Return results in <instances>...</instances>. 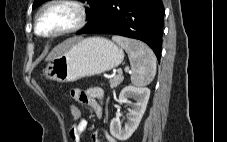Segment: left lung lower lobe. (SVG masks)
<instances>
[{
    "instance_id": "1",
    "label": "left lung lower lobe",
    "mask_w": 227,
    "mask_h": 142,
    "mask_svg": "<svg viewBox=\"0 0 227 142\" xmlns=\"http://www.w3.org/2000/svg\"><path fill=\"white\" fill-rule=\"evenodd\" d=\"M164 6L161 0H107L76 34H115L147 43L161 57Z\"/></svg>"
}]
</instances>
